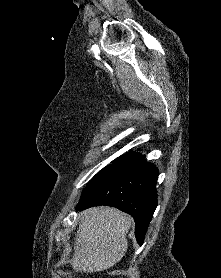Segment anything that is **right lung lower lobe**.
Here are the masks:
<instances>
[{
  "instance_id": "98d812e1",
  "label": "right lung lower lobe",
  "mask_w": 221,
  "mask_h": 278,
  "mask_svg": "<svg viewBox=\"0 0 221 278\" xmlns=\"http://www.w3.org/2000/svg\"><path fill=\"white\" fill-rule=\"evenodd\" d=\"M158 169L147 163L145 155L135 159L93 188L76 209L107 205L130 214L135 220V236L143 244L146 231L157 207Z\"/></svg>"
}]
</instances>
